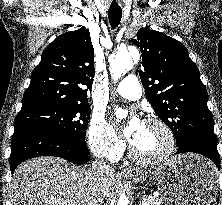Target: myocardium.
Masks as SVG:
<instances>
[{"label":"myocardium","instance_id":"1","mask_svg":"<svg viewBox=\"0 0 222 205\" xmlns=\"http://www.w3.org/2000/svg\"><path fill=\"white\" fill-rule=\"evenodd\" d=\"M144 123L156 125L162 129L167 138V145L163 152L153 157H143L139 155L132 145L129 146V157L138 164L156 165L160 164L171 157L175 150L176 140L175 135L170 126L161 119L147 118Z\"/></svg>","mask_w":222,"mask_h":205}]
</instances>
